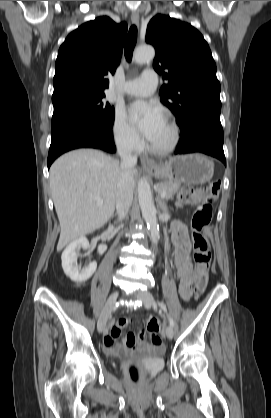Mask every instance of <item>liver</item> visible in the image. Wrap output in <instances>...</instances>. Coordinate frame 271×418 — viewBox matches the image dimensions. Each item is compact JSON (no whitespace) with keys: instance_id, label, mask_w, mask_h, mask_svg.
<instances>
[{"instance_id":"1","label":"liver","mask_w":271,"mask_h":418,"mask_svg":"<svg viewBox=\"0 0 271 418\" xmlns=\"http://www.w3.org/2000/svg\"><path fill=\"white\" fill-rule=\"evenodd\" d=\"M122 165L94 149H79L64 154L50 168V189L60 222L57 250L91 233L112 217ZM137 170L130 172L134 189ZM104 200L97 205L94 197Z\"/></svg>"}]
</instances>
